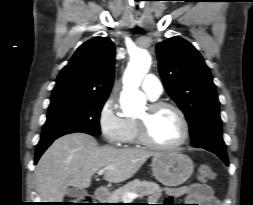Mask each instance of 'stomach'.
Instances as JSON below:
<instances>
[{
    "label": "stomach",
    "mask_w": 253,
    "mask_h": 205,
    "mask_svg": "<svg viewBox=\"0 0 253 205\" xmlns=\"http://www.w3.org/2000/svg\"><path fill=\"white\" fill-rule=\"evenodd\" d=\"M151 166L155 178L160 183L170 187L186 182L194 169L192 160L179 151L155 154Z\"/></svg>",
    "instance_id": "stomach-1"
}]
</instances>
